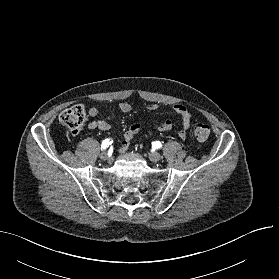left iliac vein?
<instances>
[{"mask_svg":"<svg viewBox=\"0 0 279 279\" xmlns=\"http://www.w3.org/2000/svg\"><path fill=\"white\" fill-rule=\"evenodd\" d=\"M149 159L152 162H158L161 159V155L158 152L149 153Z\"/></svg>","mask_w":279,"mask_h":279,"instance_id":"left-iliac-vein-1","label":"left iliac vein"}]
</instances>
